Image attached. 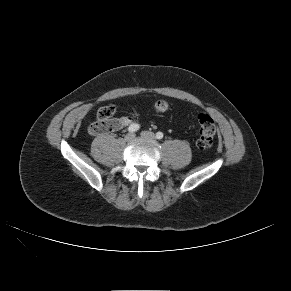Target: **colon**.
Here are the masks:
<instances>
[{
	"label": "colon",
	"mask_w": 291,
	"mask_h": 291,
	"mask_svg": "<svg viewBox=\"0 0 291 291\" xmlns=\"http://www.w3.org/2000/svg\"><path fill=\"white\" fill-rule=\"evenodd\" d=\"M169 109V104L165 100H159L155 103L154 110L156 113H164ZM115 108L112 105H104L97 112V120L89 127V133L92 135H101L113 130L112 117ZM199 125V137L197 146L204 150L213 145L216 134V125L213 118L206 112H199L196 116Z\"/></svg>",
	"instance_id": "obj_1"
}]
</instances>
